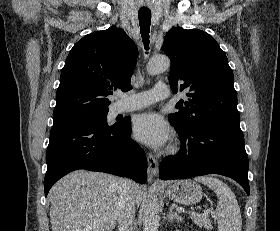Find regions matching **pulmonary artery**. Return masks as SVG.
<instances>
[{
  "mask_svg": "<svg viewBox=\"0 0 280 231\" xmlns=\"http://www.w3.org/2000/svg\"><path fill=\"white\" fill-rule=\"evenodd\" d=\"M168 86L163 83L157 84L154 88L138 94L130 95L132 101L120 103V113L141 109L158 101L165 100L169 97Z\"/></svg>",
  "mask_w": 280,
  "mask_h": 231,
  "instance_id": "obj_1",
  "label": "pulmonary artery"
}]
</instances>
